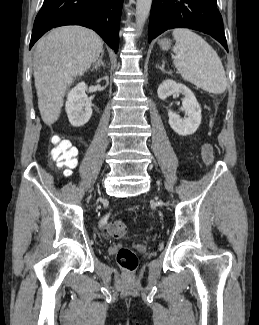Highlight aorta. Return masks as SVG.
Masks as SVG:
<instances>
[{
	"label": "aorta",
	"mask_w": 259,
	"mask_h": 325,
	"mask_svg": "<svg viewBox=\"0 0 259 325\" xmlns=\"http://www.w3.org/2000/svg\"><path fill=\"white\" fill-rule=\"evenodd\" d=\"M152 0H137L136 2V27L140 32L149 16Z\"/></svg>",
	"instance_id": "obj_1"
}]
</instances>
